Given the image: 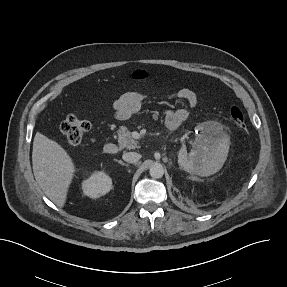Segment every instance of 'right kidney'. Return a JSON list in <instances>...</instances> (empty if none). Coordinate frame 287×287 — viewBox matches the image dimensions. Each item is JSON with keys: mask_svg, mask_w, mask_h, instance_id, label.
<instances>
[{"mask_svg": "<svg viewBox=\"0 0 287 287\" xmlns=\"http://www.w3.org/2000/svg\"><path fill=\"white\" fill-rule=\"evenodd\" d=\"M112 189L111 178L103 171L94 172L88 179L82 183L84 195L96 199Z\"/></svg>", "mask_w": 287, "mask_h": 287, "instance_id": "obj_1", "label": "right kidney"}]
</instances>
